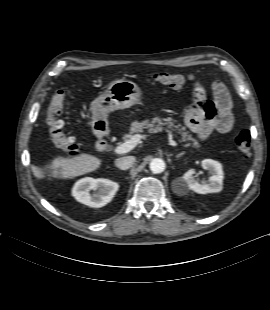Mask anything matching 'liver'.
I'll return each instance as SVG.
<instances>
[{
	"label": "liver",
	"mask_w": 270,
	"mask_h": 310,
	"mask_svg": "<svg viewBox=\"0 0 270 310\" xmlns=\"http://www.w3.org/2000/svg\"><path fill=\"white\" fill-rule=\"evenodd\" d=\"M100 166L99 158L82 153L73 158L57 156L44 168L33 166L32 170L37 179H44L46 173L57 179H72L93 172Z\"/></svg>",
	"instance_id": "obj_1"
}]
</instances>
